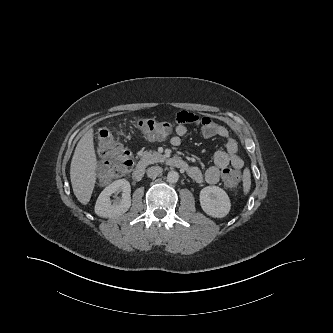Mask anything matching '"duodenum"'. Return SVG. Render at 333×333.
I'll return each mask as SVG.
<instances>
[{
	"mask_svg": "<svg viewBox=\"0 0 333 333\" xmlns=\"http://www.w3.org/2000/svg\"><path fill=\"white\" fill-rule=\"evenodd\" d=\"M165 162L167 165H169L171 167H175V168L182 169L185 171H188L190 168L188 163L179 157H167L165 159ZM145 170H146L145 161H143V160L139 161L138 164L136 165L135 169L132 171V178L135 181L141 180L145 174Z\"/></svg>",
	"mask_w": 333,
	"mask_h": 333,
	"instance_id": "1",
	"label": "duodenum"
}]
</instances>
